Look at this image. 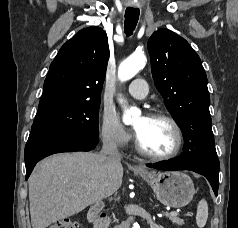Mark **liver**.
<instances>
[{"label": "liver", "mask_w": 238, "mask_h": 228, "mask_svg": "<svg viewBox=\"0 0 238 228\" xmlns=\"http://www.w3.org/2000/svg\"><path fill=\"white\" fill-rule=\"evenodd\" d=\"M122 178L120 159L90 152L47 157L28 181L32 228H46L112 195Z\"/></svg>", "instance_id": "6515ba94"}]
</instances>
